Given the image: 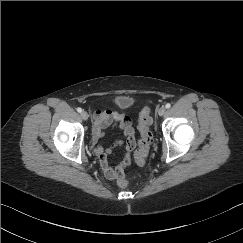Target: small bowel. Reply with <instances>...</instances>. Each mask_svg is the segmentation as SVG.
<instances>
[{
    "label": "small bowel",
    "instance_id": "obj_1",
    "mask_svg": "<svg viewBox=\"0 0 243 243\" xmlns=\"http://www.w3.org/2000/svg\"><path fill=\"white\" fill-rule=\"evenodd\" d=\"M110 126H117L122 130L124 135L123 144L126 152L123 160L116 166L110 164L109 150L99 144V141L104 136L105 130ZM91 143L104 176L110 181L117 182L119 178L125 175V168L131 162L133 150L136 145L135 132L131 118L117 109L96 111L93 115Z\"/></svg>",
    "mask_w": 243,
    "mask_h": 243
}]
</instances>
